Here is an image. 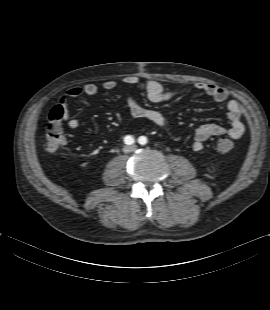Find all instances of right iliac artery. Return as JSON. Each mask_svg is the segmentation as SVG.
Returning a JSON list of instances; mask_svg holds the SVG:
<instances>
[{
    "label": "right iliac artery",
    "mask_w": 270,
    "mask_h": 310,
    "mask_svg": "<svg viewBox=\"0 0 270 310\" xmlns=\"http://www.w3.org/2000/svg\"><path fill=\"white\" fill-rule=\"evenodd\" d=\"M124 142H125V144H127V145H131V144L134 143V138H133L132 136L128 135V136H126V137L124 138Z\"/></svg>",
    "instance_id": "right-iliac-artery-1"
}]
</instances>
